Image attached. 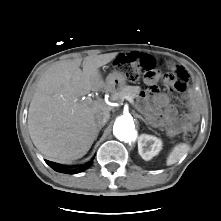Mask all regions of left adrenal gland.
Masks as SVG:
<instances>
[{
	"label": "left adrenal gland",
	"mask_w": 221,
	"mask_h": 221,
	"mask_svg": "<svg viewBox=\"0 0 221 221\" xmlns=\"http://www.w3.org/2000/svg\"><path fill=\"white\" fill-rule=\"evenodd\" d=\"M137 117H138L139 119L143 120L146 124H148L147 121H146L143 117H141L140 115H137Z\"/></svg>",
	"instance_id": "obj_1"
}]
</instances>
